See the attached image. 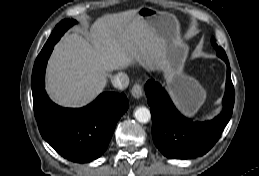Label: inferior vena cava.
<instances>
[{
	"instance_id": "inferior-vena-cava-1",
	"label": "inferior vena cava",
	"mask_w": 259,
	"mask_h": 176,
	"mask_svg": "<svg viewBox=\"0 0 259 176\" xmlns=\"http://www.w3.org/2000/svg\"><path fill=\"white\" fill-rule=\"evenodd\" d=\"M113 86L117 89H125L129 85V77L126 73L120 72L111 77Z\"/></svg>"
}]
</instances>
